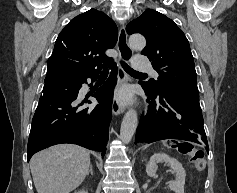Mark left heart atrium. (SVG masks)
<instances>
[{
  "label": "left heart atrium",
  "instance_id": "1",
  "mask_svg": "<svg viewBox=\"0 0 237 193\" xmlns=\"http://www.w3.org/2000/svg\"><path fill=\"white\" fill-rule=\"evenodd\" d=\"M117 98L120 102H128L131 99V91L128 88H122L116 93Z\"/></svg>",
  "mask_w": 237,
  "mask_h": 193
}]
</instances>
